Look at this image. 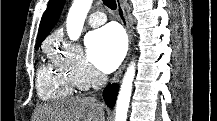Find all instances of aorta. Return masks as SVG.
I'll list each match as a JSON object with an SVG mask.
<instances>
[{
    "label": "aorta",
    "instance_id": "1",
    "mask_svg": "<svg viewBox=\"0 0 217 121\" xmlns=\"http://www.w3.org/2000/svg\"><path fill=\"white\" fill-rule=\"evenodd\" d=\"M93 0H74L66 20L67 34L71 40H77ZM135 76V63L131 62L124 75L116 103L115 121H126Z\"/></svg>",
    "mask_w": 217,
    "mask_h": 121
}]
</instances>
